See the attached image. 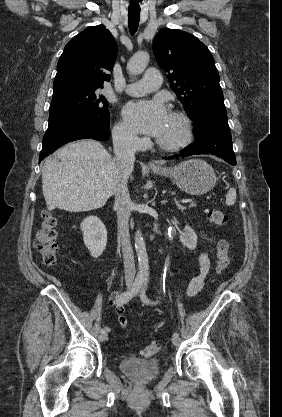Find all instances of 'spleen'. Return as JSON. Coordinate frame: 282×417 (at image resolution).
I'll return each mask as SVG.
<instances>
[{
  "instance_id": "1",
  "label": "spleen",
  "mask_w": 282,
  "mask_h": 417,
  "mask_svg": "<svg viewBox=\"0 0 282 417\" xmlns=\"http://www.w3.org/2000/svg\"><path fill=\"white\" fill-rule=\"evenodd\" d=\"M236 200V190L235 188H229L227 194H226V204H228V206H231V204H234Z\"/></svg>"
}]
</instances>
